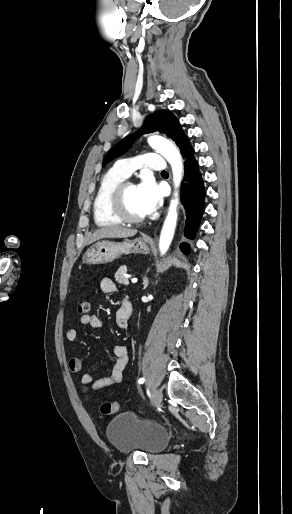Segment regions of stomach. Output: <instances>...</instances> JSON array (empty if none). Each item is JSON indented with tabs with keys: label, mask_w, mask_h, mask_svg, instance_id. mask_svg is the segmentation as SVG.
<instances>
[{
	"label": "stomach",
	"mask_w": 292,
	"mask_h": 514,
	"mask_svg": "<svg viewBox=\"0 0 292 514\" xmlns=\"http://www.w3.org/2000/svg\"><path fill=\"white\" fill-rule=\"evenodd\" d=\"M122 254H149V246L143 238L126 240V242L102 240L94 244V248L85 254L83 264H109L116 258H120Z\"/></svg>",
	"instance_id": "obj_1"
}]
</instances>
